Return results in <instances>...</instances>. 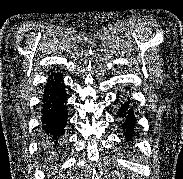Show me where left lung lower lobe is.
<instances>
[{
  "label": "left lung lower lobe",
  "instance_id": "1",
  "mask_svg": "<svg viewBox=\"0 0 183 179\" xmlns=\"http://www.w3.org/2000/svg\"><path fill=\"white\" fill-rule=\"evenodd\" d=\"M117 115L119 118H122L120 123L124 129V134L127 138L126 141H131L133 130L136 124V118L133 112V108L129 105V98L128 101L121 102V107L119 108Z\"/></svg>",
  "mask_w": 183,
  "mask_h": 179
}]
</instances>
